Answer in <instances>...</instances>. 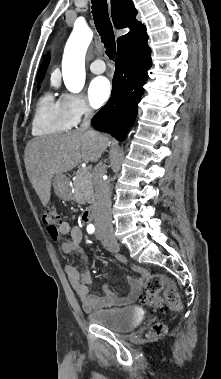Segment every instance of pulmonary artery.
Listing matches in <instances>:
<instances>
[{"instance_id":"1","label":"pulmonary artery","mask_w":221,"mask_h":379,"mask_svg":"<svg viewBox=\"0 0 221 379\" xmlns=\"http://www.w3.org/2000/svg\"><path fill=\"white\" fill-rule=\"evenodd\" d=\"M105 69L106 67L102 60H95L90 64V70L95 74H101Z\"/></svg>"}]
</instances>
